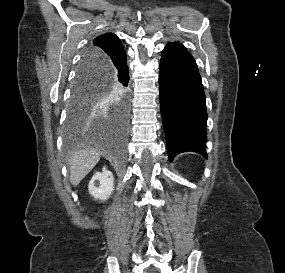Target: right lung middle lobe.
Returning <instances> with one entry per match:
<instances>
[{
    "label": "right lung middle lobe",
    "mask_w": 285,
    "mask_h": 273,
    "mask_svg": "<svg viewBox=\"0 0 285 273\" xmlns=\"http://www.w3.org/2000/svg\"><path fill=\"white\" fill-rule=\"evenodd\" d=\"M86 59L90 62L96 57L86 50L84 60ZM110 94L124 97L126 90L112 81L108 69L94 68L81 62L72 87L67 123L69 129L77 127L84 120L90 108L98 100Z\"/></svg>",
    "instance_id": "dd1d6c3e"
}]
</instances>
